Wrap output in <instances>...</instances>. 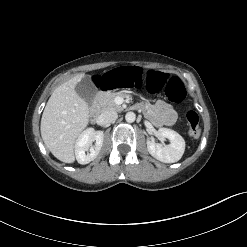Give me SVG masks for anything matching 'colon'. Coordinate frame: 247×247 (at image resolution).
I'll return each mask as SVG.
<instances>
[{
    "mask_svg": "<svg viewBox=\"0 0 247 247\" xmlns=\"http://www.w3.org/2000/svg\"><path fill=\"white\" fill-rule=\"evenodd\" d=\"M88 83L94 89L144 86L152 93L164 89L166 97L174 103L181 102L186 96L185 87L178 77H170L156 69L147 70L143 65L134 63L119 65L103 71L94 70L88 76ZM186 120L189 134L192 137L199 136V115L194 110H188Z\"/></svg>",
    "mask_w": 247,
    "mask_h": 247,
    "instance_id": "colon-1",
    "label": "colon"
}]
</instances>
